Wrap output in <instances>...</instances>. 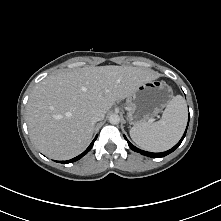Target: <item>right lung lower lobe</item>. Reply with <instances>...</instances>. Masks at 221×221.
Returning a JSON list of instances; mask_svg holds the SVG:
<instances>
[{
    "label": "right lung lower lobe",
    "instance_id": "1",
    "mask_svg": "<svg viewBox=\"0 0 221 221\" xmlns=\"http://www.w3.org/2000/svg\"><path fill=\"white\" fill-rule=\"evenodd\" d=\"M97 136L94 138V140L92 141V143L89 145V147L80 155H78L77 157L71 159V160H68V161H61V163L63 164H67V163H72V162H75V161H78L79 159H81L85 154H87L91 148L93 147V144L96 140Z\"/></svg>",
    "mask_w": 221,
    "mask_h": 221
}]
</instances>
